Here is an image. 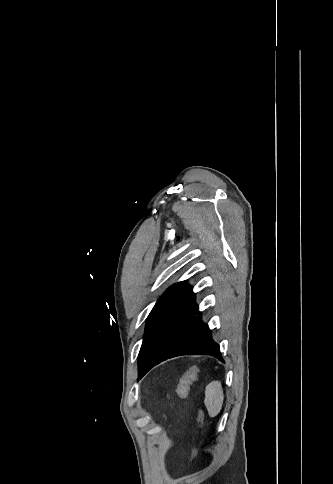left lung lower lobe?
Here are the masks:
<instances>
[{
    "label": "left lung lower lobe",
    "mask_w": 333,
    "mask_h": 484,
    "mask_svg": "<svg viewBox=\"0 0 333 484\" xmlns=\"http://www.w3.org/2000/svg\"><path fill=\"white\" fill-rule=\"evenodd\" d=\"M212 355L223 361L219 345L195 303L192 287L180 282L157 301L147 318L139 353V379L158 363L180 355Z\"/></svg>",
    "instance_id": "left-lung-lower-lobe-1"
}]
</instances>
